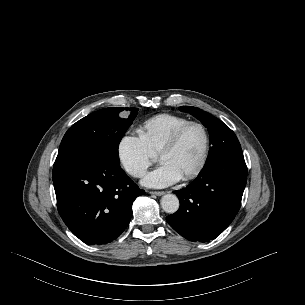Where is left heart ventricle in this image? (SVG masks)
<instances>
[{"mask_svg":"<svg viewBox=\"0 0 305 305\" xmlns=\"http://www.w3.org/2000/svg\"><path fill=\"white\" fill-rule=\"evenodd\" d=\"M204 134L199 127L189 128L178 145L160 157L162 163L170 165L181 177L199 164L204 150Z\"/></svg>","mask_w":305,"mask_h":305,"instance_id":"left-heart-ventricle-1","label":"left heart ventricle"}]
</instances>
